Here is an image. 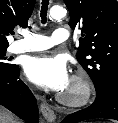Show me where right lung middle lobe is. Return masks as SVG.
<instances>
[{"mask_svg":"<svg viewBox=\"0 0 118 123\" xmlns=\"http://www.w3.org/2000/svg\"><path fill=\"white\" fill-rule=\"evenodd\" d=\"M5 54H6V48H1L0 49V73L10 72L17 67V65L8 63L10 59L5 57Z\"/></svg>","mask_w":118,"mask_h":123,"instance_id":"obj_1","label":"right lung middle lobe"}]
</instances>
